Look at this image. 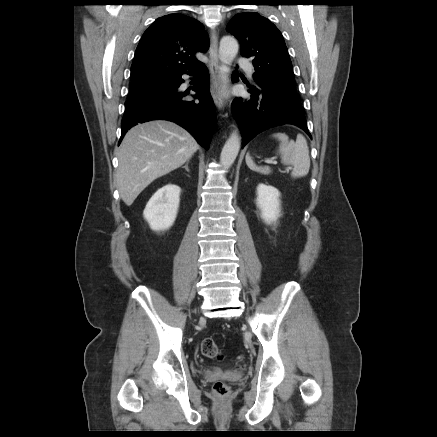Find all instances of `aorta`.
<instances>
[{"label": "aorta", "mask_w": 437, "mask_h": 437, "mask_svg": "<svg viewBox=\"0 0 437 437\" xmlns=\"http://www.w3.org/2000/svg\"><path fill=\"white\" fill-rule=\"evenodd\" d=\"M238 43L232 36H224L220 41L219 58L221 61L220 78L223 84L229 82L230 65L238 53ZM240 150V138L233 132L226 141L221 155L220 163L227 169L232 166Z\"/></svg>", "instance_id": "762f6f07"}]
</instances>
